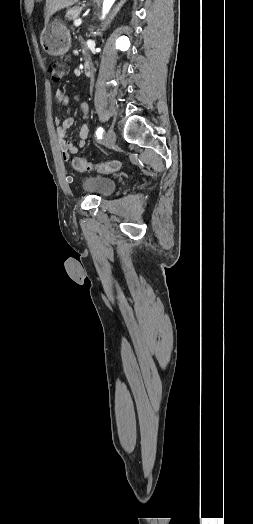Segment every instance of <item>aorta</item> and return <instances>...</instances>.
Returning <instances> with one entry per match:
<instances>
[{
    "label": "aorta",
    "instance_id": "762f6f07",
    "mask_svg": "<svg viewBox=\"0 0 253 524\" xmlns=\"http://www.w3.org/2000/svg\"><path fill=\"white\" fill-rule=\"evenodd\" d=\"M115 0H103V17L109 12L110 8L114 4Z\"/></svg>",
    "mask_w": 253,
    "mask_h": 524
}]
</instances>
